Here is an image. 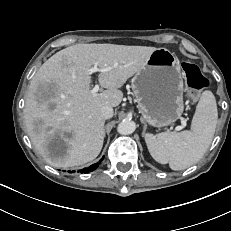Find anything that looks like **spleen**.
<instances>
[{"instance_id":"spleen-1","label":"spleen","mask_w":231,"mask_h":231,"mask_svg":"<svg viewBox=\"0 0 231 231\" xmlns=\"http://www.w3.org/2000/svg\"><path fill=\"white\" fill-rule=\"evenodd\" d=\"M218 112L211 91H204L192 119L191 130L145 134L147 148L158 163L184 170L199 161L212 142Z\"/></svg>"}]
</instances>
